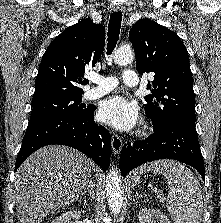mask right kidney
Segmentation results:
<instances>
[{"instance_id":"ca27d5eb","label":"right kidney","mask_w":221,"mask_h":223,"mask_svg":"<svg viewBox=\"0 0 221 223\" xmlns=\"http://www.w3.org/2000/svg\"><path fill=\"white\" fill-rule=\"evenodd\" d=\"M81 217V212L72 210L62 213L60 216L56 217L52 223H69L71 218L78 220Z\"/></svg>"}]
</instances>
